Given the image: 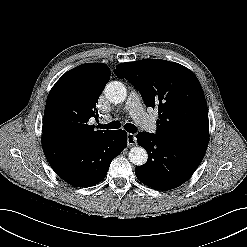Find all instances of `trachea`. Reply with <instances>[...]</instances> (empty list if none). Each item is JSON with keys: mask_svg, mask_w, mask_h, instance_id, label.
Here are the masks:
<instances>
[{"mask_svg": "<svg viewBox=\"0 0 247 247\" xmlns=\"http://www.w3.org/2000/svg\"><path fill=\"white\" fill-rule=\"evenodd\" d=\"M121 127V124L119 121H112L108 124H100L97 126V128L101 129H119ZM124 129L129 133H135L137 128L134 124L127 123L124 126Z\"/></svg>", "mask_w": 247, "mask_h": 247, "instance_id": "3493384b", "label": "trachea"}]
</instances>
